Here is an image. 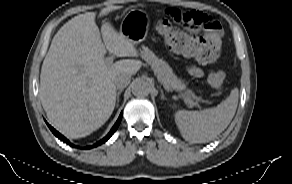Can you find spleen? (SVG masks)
<instances>
[{
  "label": "spleen",
  "instance_id": "3e777b00",
  "mask_svg": "<svg viewBox=\"0 0 292 184\" xmlns=\"http://www.w3.org/2000/svg\"><path fill=\"white\" fill-rule=\"evenodd\" d=\"M238 89L217 107L202 111L178 110L174 114L182 137L190 143H206L215 139L230 124L238 105Z\"/></svg>",
  "mask_w": 292,
  "mask_h": 184
}]
</instances>
